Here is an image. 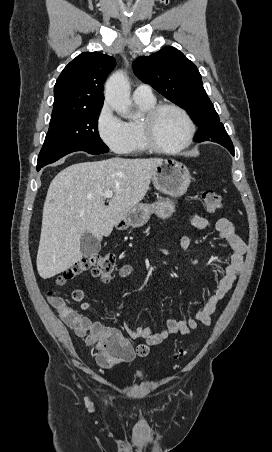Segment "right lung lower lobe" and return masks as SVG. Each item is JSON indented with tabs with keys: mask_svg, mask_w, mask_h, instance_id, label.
Returning <instances> with one entry per match:
<instances>
[{
	"mask_svg": "<svg viewBox=\"0 0 272 452\" xmlns=\"http://www.w3.org/2000/svg\"><path fill=\"white\" fill-rule=\"evenodd\" d=\"M62 157H63V156H62ZM60 158H61V157L55 158V159H49V160L42 161V162H38V164H37V171H39V170H40L42 167H44L45 165H48V164H50V163H53V162L59 160Z\"/></svg>",
	"mask_w": 272,
	"mask_h": 452,
	"instance_id": "98d812e1",
	"label": "right lung lower lobe"
}]
</instances>
